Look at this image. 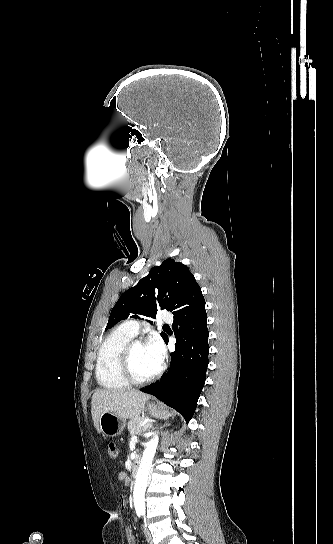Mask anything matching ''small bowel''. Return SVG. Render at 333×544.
Here are the masks:
<instances>
[{
    "label": "small bowel",
    "mask_w": 333,
    "mask_h": 544,
    "mask_svg": "<svg viewBox=\"0 0 333 544\" xmlns=\"http://www.w3.org/2000/svg\"><path fill=\"white\" fill-rule=\"evenodd\" d=\"M118 478H119V480L121 482H123L125 484H128V478H127V475L124 472H120L119 475H118ZM120 504H121L122 509L126 508L127 501H126L125 497L120 498ZM126 538H127V543L128 544H136L135 536L132 533L131 529L126 530Z\"/></svg>",
    "instance_id": "obj_1"
}]
</instances>
